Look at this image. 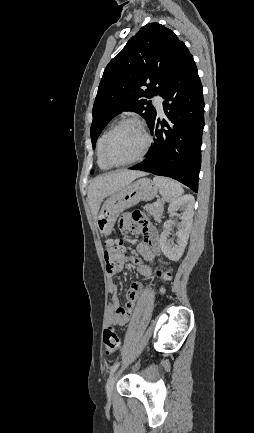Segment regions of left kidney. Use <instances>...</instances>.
I'll return each mask as SVG.
<instances>
[{"label": "left kidney", "instance_id": "obj_1", "mask_svg": "<svg viewBox=\"0 0 254 433\" xmlns=\"http://www.w3.org/2000/svg\"><path fill=\"white\" fill-rule=\"evenodd\" d=\"M194 197L190 194L184 195L173 201L168 208V212L173 214L177 209L182 211L181 223L177 231V244L168 240V234L171 223L167 221L164 223V230L160 236V247L163 254L172 261H178L184 253L187 245L190 228L192 225L194 214Z\"/></svg>", "mask_w": 254, "mask_h": 433}]
</instances>
